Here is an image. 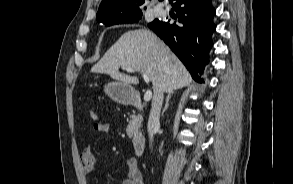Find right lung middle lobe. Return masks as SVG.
I'll use <instances>...</instances> for the list:
<instances>
[{
    "label": "right lung middle lobe",
    "instance_id": "right-lung-middle-lobe-1",
    "mask_svg": "<svg viewBox=\"0 0 293 184\" xmlns=\"http://www.w3.org/2000/svg\"><path fill=\"white\" fill-rule=\"evenodd\" d=\"M141 17H142V12L137 13V14H135L133 16L127 17L125 19H122L120 21H117L115 23H110V24H108L106 26L113 25V24H123V23L137 22V21H139L141 19Z\"/></svg>",
    "mask_w": 293,
    "mask_h": 184
}]
</instances>
